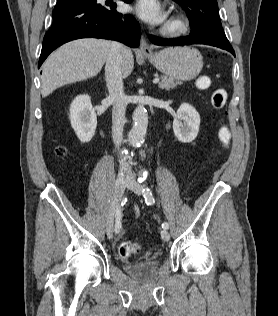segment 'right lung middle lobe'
Here are the masks:
<instances>
[{"instance_id":"dd1d6c3e","label":"right lung middle lobe","mask_w":278,"mask_h":316,"mask_svg":"<svg viewBox=\"0 0 278 316\" xmlns=\"http://www.w3.org/2000/svg\"><path fill=\"white\" fill-rule=\"evenodd\" d=\"M65 1H69V0H57V4L63 3V2H65Z\"/></svg>"}]
</instances>
